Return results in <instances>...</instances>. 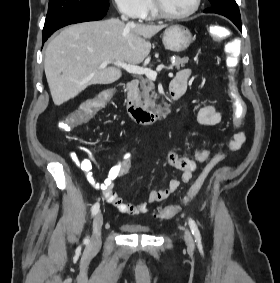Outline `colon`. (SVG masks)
<instances>
[{
	"label": "colon",
	"mask_w": 280,
	"mask_h": 283,
	"mask_svg": "<svg viewBox=\"0 0 280 283\" xmlns=\"http://www.w3.org/2000/svg\"><path fill=\"white\" fill-rule=\"evenodd\" d=\"M209 33L215 41H222L230 36L231 31L226 26L211 25L209 27ZM228 41L229 42H227L226 47V66L230 73V95L234 106L233 119L235 122L242 123L246 115V104L237 93L232 77L235 68L238 64L237 55H241L242 42H240V37H229ZM109 97V92H105L101 94L98 98L84 105L81 110H71V114H66V119H73V122H60L59 126L61 127V132H74V127H79L80 124H87L88 120H93L94 115H96V112L103 111L102 107L97 106L106 102ZM220 158L221 156H216L207 163L203 171L200 173V175L189 188L181 205H170L163 208L157 213L156 218L159 220H168L173 218L179 212L182 205H186L197 195L203 183L207 179L209 173L219 162Z\"/></svg>",
	"instance_id": "5ec220e1"
}]
</instances>
